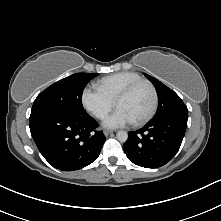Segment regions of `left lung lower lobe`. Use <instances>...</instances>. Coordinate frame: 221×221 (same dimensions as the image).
Instances as JSON below:
<instances>
[{"instance_id": "obj_1", "label": "left lung lower lobe", "mask_w": 221, "mask_h": 221, "mask_svg": "<svg viewBox=\"0 0 221 221\" xmlns=\"http://www.w3.org/2000/svg\"><path fill=\"white\" fill-rule=\"evenodd\" d=\"M188 113H177L148 122L128 133L123 149L128 159L145 168H158L178 152L185 135Z\"/></svg>"}]
</instances>
